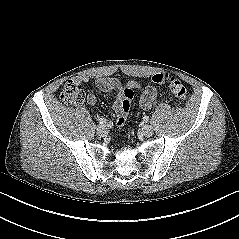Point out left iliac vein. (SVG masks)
<instances>
[{"label":"left iliac vein","mask_w":239,"mask_h":239,"mask_svg":"<svg viewBox=\"0 0 239 239\" xmlns=\"http://www.w3.org/2000/svg\"><path fill=\"white\" fill-rule=\"evenodd\" d=\"M142 134L145 136V137H150L152 136L153 134V130H152V127L149 126V125H145L142 130H141Z\"/></svg>","instance_id":"obj_1"}]
</instances>
